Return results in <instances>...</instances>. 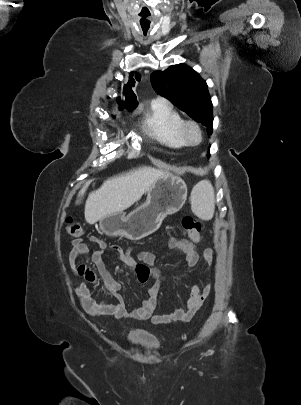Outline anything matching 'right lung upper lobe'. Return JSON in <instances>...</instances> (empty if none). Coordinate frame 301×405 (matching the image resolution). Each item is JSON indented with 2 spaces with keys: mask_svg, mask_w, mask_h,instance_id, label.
I'll use <instances>...</instances> for the list:
<instances>
[{
  "mask_svg": "<svg viewBox=\"0 0 301 405\" xmlns=\"http://www.w3.org/2000/svg\"><path fill=\"white\" fill-rule=\"evenodd\" d=\"M133 76V73H130V77ZM136 79L139 81L140 80V75L136 73ZM135 85V81L133 78H130L128 84L124 86L123 89V94L125 95L126 99L124 102H121L118 100V104L120 105V108H126L128 110H133L137 106V100H136V95L132 91V88Z\"/></svg>",
  "mask_w": 301,
  "mask_h": 405,
  "instance_id": "right-lung-upper-lobe-1",
  "label": "right lung upper lobe"
}]
</instances>
